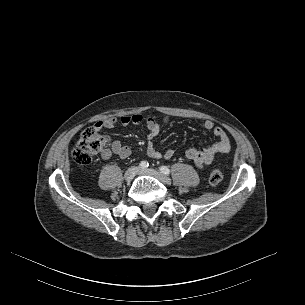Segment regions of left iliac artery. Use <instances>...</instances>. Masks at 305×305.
Returning <instances> with one entry per match:
<instances>
[{
  "label": "left iliac artery",
  "mask_w": 305,
  "mask_h": 305,
  "mask_svg": "<svg viewBox=\"0 0 305 305\" xmlns=\"http://www.w3.org/2000/svg\"><path fill=\"white\" fill-rule=\"evenodd\" d=\"M160 171H161L163 174H165V175L170 174V170H169V168H168L167 166H161V167H160Z\"/></svg>",
  "instance_id": "44dca946"
}]
</instances>
